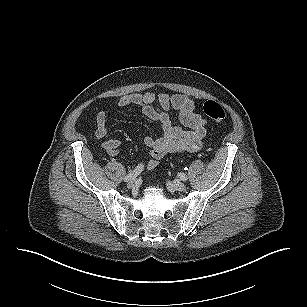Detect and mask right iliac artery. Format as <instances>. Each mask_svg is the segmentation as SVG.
Returning <instances> with one entry per match:
<instances>
[{
	"mask_svg": "<svg viewBox=\"0 0 307 307\" xmlns=\"http://www.w3.org/2000/svg\"><path fill=\"white\" fill-rule=\"evenodd\" d=\"M144 169L143 164H139L133 171H131L127 176L124 177L125 182L134 180Z\"/></svg>",
	"mask_w": 307,
	"mask_h": 307,
	"instance_id": "1",
	"label": "right iliac artery"
}]
</instances>
